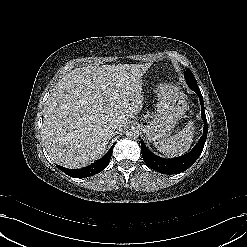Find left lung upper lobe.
I'll list each match as a JSON object with an SVG mask.
<instances>
[{
	"label": "left lung upper lobe",
	"mask_w": 247,
	"mask_h": 247,
	"mask_svg": "<svg viewBox=\"0 0 247 247\" xmlns=\"http://www.w3.org/2000/svg\"><path fill=\"white\" fill-rule=\"evenodd\" d=\"M184 77L186 79L187 84L197 85V81L190 69L187 68Z\"/></svg>",
	"instance_id": "left-lung-upper-lobe-1"
}]
</instances>
